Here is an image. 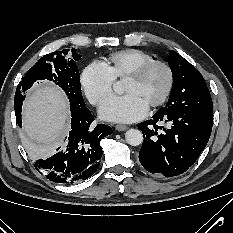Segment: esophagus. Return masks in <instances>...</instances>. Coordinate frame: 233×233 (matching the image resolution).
I'll list each match as a JSON object with an SVG mask.
<instances>
[{
  "label": "esophagus",
  "instance_id": "34e87169",
  "mask_svg": "<svg viewBox=\"0 0 233 233\" xmlns=\"http://www.w3.org/2000/svg\"><path fill=\"white\" fill-rule=\"evenodd\" d=\"M115 128H116V130H117V131H120V132H122V131H125V130H127V129H128V126H126V125H121V124H118V125H116V126H115Z\"/></svg>",
  "mask_w": 233,
  "mask_h": 233
}]
</instances>
